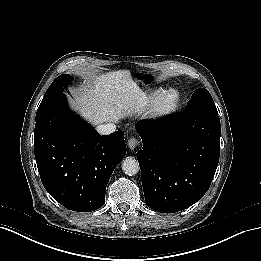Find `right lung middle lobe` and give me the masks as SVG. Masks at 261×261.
I'll return each instance as SVG.
<instances>
[{
  "label": "right lung middle lobe",
  "instance_id": "obj_1",
  "mask_svg": "<svg viewBox=\"0 0 261 261\" xmlns=\"http://www.w3.org/2000/svg\"><path fill=\"white\" fill-rule=\"evenodd\" d=\"M72 80L73 77L69 74H63L57 77L46 91L37 110V114L43 111L51 102L57 100L63 94V88L66 87Z\"/></svg>",
  "mask_w": 261,
  "mask_h": 261
}]
</instances>
